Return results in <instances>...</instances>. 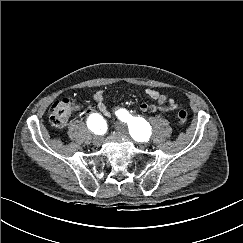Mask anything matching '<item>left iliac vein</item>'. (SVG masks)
Returning a JSON list of instances; mask_svg holds the SVG:
<instances>
[{
    "label": "left iliac vein",
    "mask_w": 243,
    "mask_h": 243,
    "mask_svg": "<svg viewBox=\"0 0 243 243\" xmlns=\"http://www.w3.org/2000/svg\"><path fill=\"white\" fill-rule=\"evenodd\" d=\"M115 129L120 133L127 134V127L123 123L120 122L115 123Z\"/></svg>",
    "instance_id": "obj_1"
}]
</instances>
